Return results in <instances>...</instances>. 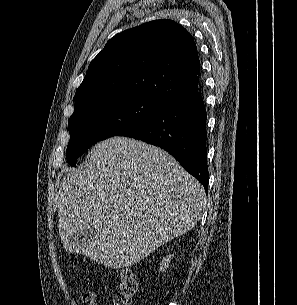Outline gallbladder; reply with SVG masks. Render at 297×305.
<instances>
[{
  "label": "gallbladder",
  "mask_w": 297,
  "mask_h": 305,
  "mask_svg": "<svg viewBox=\"0 0 297 305\" xmlns=\"http://www.w3.org/2000/svg\"><path fill=\"white\" fill-rule=\"evenodd\" d=\"M97 236H98L97 230L93 226H91L73 235L70 238L69 243L75 249L81 250L87 247L91 241L97 238Z\"/></svg>",
  "instance_id": "1"
}]
</instances>
